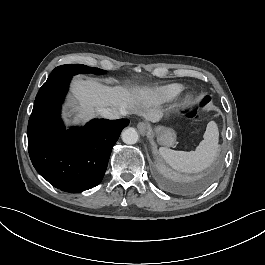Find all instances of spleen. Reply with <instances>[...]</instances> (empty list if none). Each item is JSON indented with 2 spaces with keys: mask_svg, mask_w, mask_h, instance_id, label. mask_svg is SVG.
Returning <instances> with one entry per match:
<instances>
[{
  "mask_svg": "<svg viewBox=\"0 0 265 265\" xmlns=\"http://www.w3.org/2000/svg\"><path fill=\"white\" fill-rule=\"evenodd\" d=\"M203 138L195 151H176L160 147L159 153L167 164L179 172H202L214 162L219 148V131L214 121L207 124Z\"/></svg>",
  "mask_w": 265,
  "mask_h": 265,
  "instance_id": "3e777b00",
  "label": "spleen"
}]
</instances>
